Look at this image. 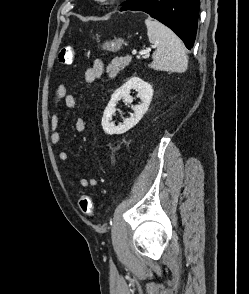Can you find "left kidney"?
Listing matches in <instances>:
<instances>
[{
  "label": "left kidney",
  "mask_w": 249,
  "mask_h": 294,
  "mask_svg": "<svg viewBox=\"0 0 249 294\" xmlns=\"http://www.w3.org/2000/svg\"><path fill=\"white\" fill-rule=\"evenodd\" d=\"M131 90L138 92L137 97L142 101L139 105L133 108L134 114L123 121L122 124L115 125L112 122V116L116 112V104L120 99H124L127 103H131L133 98L130 96ZM153 87L140 79L139 77H132L120 88L116 89L111 96V99L104 110L102 117V128L106 134H122L134 127L147 112L153 96Z\"/></svg>",
  "instance_id": "5707ae66"
}]
</instances>
